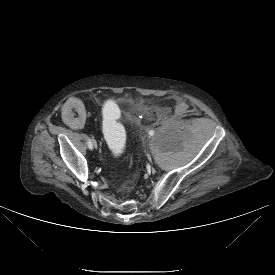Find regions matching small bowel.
Returning <instances> with one entry per match:
<instances>
[{
	"mask_svg": "<svg viewBox=\"0 0 275 275\" xmlns=\"http://www.w3.org/2000/svg\"><path fill=\"white\" fill-rule=\"evenodd\" d=\"M84 103L79 98H71L62 106L61 118L63 122L73 128H81L85 122Z\"/></svg>",
	"mask_w": 275,
	"mask_h": 275,
	"instance_id": "c3829d8e",
	"label": "small bowel"
}]
</instances>
